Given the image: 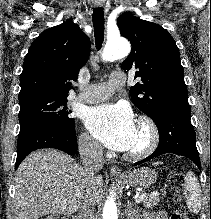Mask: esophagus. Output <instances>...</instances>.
Here are the masks:
<instances>
[{
    "label": "esophagus",
    "mask_w": 211,
    "mask_h": 219,
    "mask_svg": "<svg viewBox=\"0 0 211 219\" xmlns=\"http://www.w3.org/2000/svg\"><path fill=\"white\" fill-rule=\"evenodd\" d=\"M97 7H100L101 4H97L96 5ZM110 172L113 174V175H121V170L118 166H112L111 169H110Z\"/></svg>",
    "instance_id": "obj_1"
}]
</instances>
